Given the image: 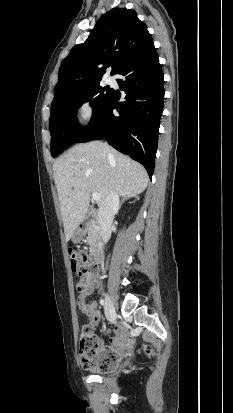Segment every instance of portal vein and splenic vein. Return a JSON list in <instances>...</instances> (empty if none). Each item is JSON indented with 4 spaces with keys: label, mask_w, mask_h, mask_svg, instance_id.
Here are the masks:
<instances>
[{
    "label": "portal vein and splenic vein",
    "mask_w": 233,
    "mask_h": 413,
    "mask_svg": "<svg viewBox=\"0 0 233 413\" xmlns=\"http://www.w3.org/2000/svg\"><path fill=\"white\" fill-rule=\"evenodd\" d=\"M92 199L95 201H99L100 200V195L98 193H93L92 194Z\"/></svg>",
    "instance_id": "18ae733b"
}]
</instances>
